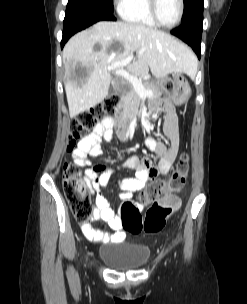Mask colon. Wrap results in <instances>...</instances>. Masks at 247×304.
<instances>
[{
  "instance_id": "obj_1",
  "label": "colon",
  "mask_w": 247,
  "mask_h": 304,
  "mask_svg": "<svg viewBox=\"0 0 247 304\" xmlns=\"http://www.w3.org/2000/svg\"><path fill=\"white\" fill-rule=\"evenodd\" d=\"M119 103L118 94H110L102 102L91 109L79 113L70 125L68 150L75 147L78 140L88 137L89 132L101 120L112 116ZM189 174V159L186 154L181 155L169 178L156 179L153 185L144 194L152 204L142 221L138 206L127 200L121 207V218L124 229L131 233L144 230L147 233H156L163 229L167 219L179 207V198L171 193L183 187ZM63 187L70 209L80 224H86L92 216V203L88 194L89 185L82 177L78 167L65 163L63 169ZM164 196L162 200L160 198Z\"/></svg>"
}]
</instances>
